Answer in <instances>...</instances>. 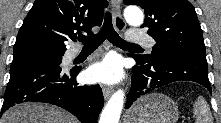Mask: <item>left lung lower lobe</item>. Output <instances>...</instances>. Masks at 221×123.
<instances>
[{
    "label": "left lung lower lobe",
    "mask_w": 221,
    "mask_h": 123,
    "mask_svg": "<svg viewBox=\"0 0 221 123\" xmlns=\"http://www.w3.org/2000/svg\"><path fill=\"white\" fill-rule=\"evenodd\" d=\"M130 56L139 66L133 67L132 88L128 93L126 108L148 92L180 80L197 82L211 92L206 57L193 54L158 56L153 59L141 55Z\"/></svg>",
    "instance_id": "obj_1"
}]
</instances>
